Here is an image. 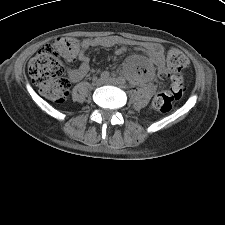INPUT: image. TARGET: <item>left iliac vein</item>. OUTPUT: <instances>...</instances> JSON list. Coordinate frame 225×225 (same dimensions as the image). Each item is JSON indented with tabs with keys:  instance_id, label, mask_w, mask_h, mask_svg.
<instances>
[{
	"instance_id": "left-iliac-vein-1",
	"label": "left iliac vein",
	"mask_w": 225,
	"mask_h": 225,
	"mask_svg": "<svg viewBox=\"0 0 225 225\" xmlns=\"http://www.w3.org/2000/svg\"><path fill=\"white\" fill-rule=\"evenodd\" d=\"M106 83H109V84H119L118 83V80L116 79V78H108L107 80H106Z\"/></svg>"
}]
</instances>
